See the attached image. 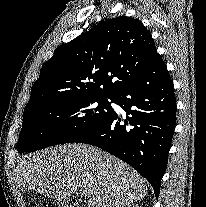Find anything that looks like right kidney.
Here are the masks:
<instances>
[{"label":"right kidney","instance_id":"ca27d5eb","mask_svg":"<svg viewBox=\"0 0 206 207\" xmlns=\"http://www.w3.org/2000/svg\"><path fill=\"white\" fill-rule=\"evenodd\" d=\"M127 207H138V205H128Z\"/></svg>","mask_w":206,"mask_h":207}]
</instances>
